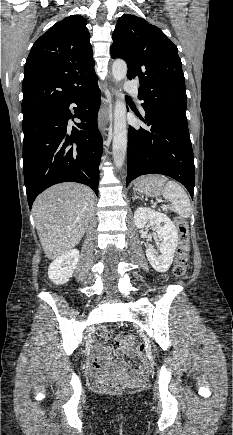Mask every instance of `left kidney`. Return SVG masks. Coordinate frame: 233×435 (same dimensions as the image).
I'll return each mask as SVG.
<instances>
[{
    "mask_svg": "<svg viewBox=\"0 0 233 435\" xmlns=\"http://www.w3.org/2000/svg\"><path fill=\"white\" fill-rule=\"evenodd\" d=\"M137 228L142 229L150 224L155 227L157 235L162 238L159 251L153 247L146 249V257L151 266L158 272L167 271L174 258L178 244V231L168 216L150 208L139 207L134 213ZM163 223V225H161ZM158 252L160 255H158Z\"/></svg>",
    "mask_w": 233,
    "mask_h": 435,
    "instance_id": "left-kidney-1",
    "label": "left kidney"
}]
</instances>
